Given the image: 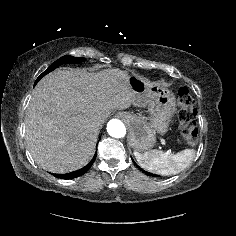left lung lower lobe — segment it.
Masks as SVG:
<instances>
[{
    "label": "left lung lower lobe",
    "mask_w": 236,
    "mask_h": 236,
    "mask_svg": "<svg viewBox=\"0 0 236 236\" xmlns=\"http://www.w3.org/2000/svg\"><path fill=\"white\" fill-rule=\"evenodd\" d=\"M134 162V161H133ZM135 163V162H134ZM135 165L140 169V167L135 163ZM142 170V169H141ZM143 171V170H142ZM146 175H148V176H155V175H153V174H151V173H149V172H146V171H143Z\"/></svg>",
    "instance_id": "left-lung-lower-lobe-1"
}]
</instances>
